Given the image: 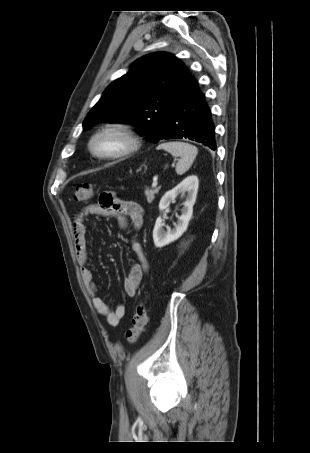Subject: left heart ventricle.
<instances>
[{"label": "left heart ventricle", "instance_id": "left-heart-ventricle-1", "mask_svg": "<svg viewBox=\"0 0 310 453\" xmlns=\"http://www.w3.org/2000/svg\"><path fill=\"white\" fill-rule=\"evenodd\" d=\"M121 140L116 136L107 135L96 140L95 146L101 153L110 152L118 149L121 146Z\"/></svg>", "mask_w": 310, "mask_h": 453}]
</instances>
